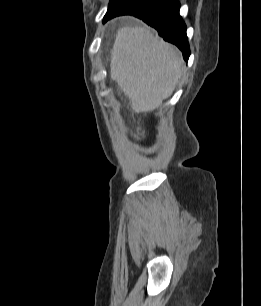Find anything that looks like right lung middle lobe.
I'll return each mask as SVG.
<instances>
[{
    "mask_svg": "<svg viewBox=\"0 0 261 306\" xmlns=\"http://www.w3.org/2000/svg\"><path fill=\"white\" fill-rule=\"evenodd\" d=\"M130 1L131 0H111L107 13H110V12H113V11H116V10L120 9L121 7H123L124 5L129 3Z\"/></svg>",
    "mask_w": 261,
    "mask_h": 306,
    "instance_id": "1",
    "label": "right lung middle lobe"
}]
</instances>
